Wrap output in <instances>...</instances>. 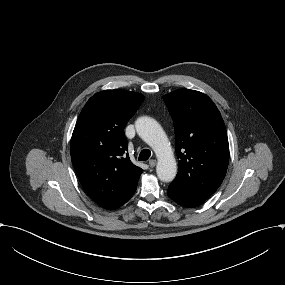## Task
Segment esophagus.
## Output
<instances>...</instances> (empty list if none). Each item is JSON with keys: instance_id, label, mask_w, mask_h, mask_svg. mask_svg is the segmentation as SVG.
Listing matches in <instances>:
<instances>
[{"instance_id": "esophagus-1", "label": "esophagus", "mask_w": 285, "mask_h": 285, "mask_svg": "<svg viewBox=\"0 0 285 285\" xmlns=\"http://www.w3.org/2000/svg\"><path fill=\"white\" fill-rule=\"evenodd\" d=\"M156 160L155 159H150L149 161H148V164H149V166L151 167V168H154L155 166H156Z\"/></svg>"}]
</instances>
